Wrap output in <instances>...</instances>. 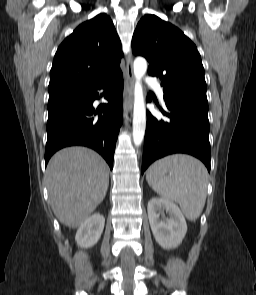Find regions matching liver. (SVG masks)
<instances>
[{"instance_id": "6515ba94", "label": "liver", "mask_w": 256, "mask_h": 295, "mask_svg": "<svg viewBox=\"0 0 256 295\" xmlns=\"http://www.w3.org/2000/svg\"><path fill=\"white\" fill-rule=\"evenodd\" d=\"M52 210L69 228L79 227L103 201L109 185L104 159L88 148L69 147L58 151L46 170Z\"/></svg>"}]
</instances>
